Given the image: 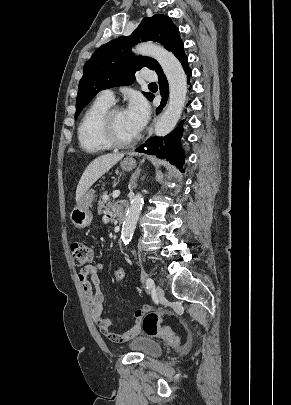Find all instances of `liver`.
<instances>
[{
	"instance_id": "obj_1",
	"label": "liver",
	"mask_w": 291,
	"mask_h": 405,
	"mask_svg": "<svg viewBox=\"0 0 291 405\" xmlns=\"http://www.w3.org/2000/svg\"><path fill=\"white\" fill-rule=\"evenodd\" d=\"M124 154H106L96 158L85 169L76 189V202L87 192V190L108 170H110Z\"/></svg>"
}]
</instances>
